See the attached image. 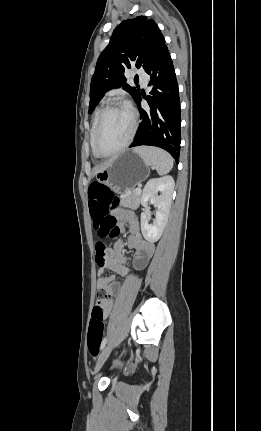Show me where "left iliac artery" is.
Returning a JSON list of instances; mask_svg holds the SVG:
<instances>
[{"label":"left iliac artery","instance_id":"obj_1","mask_svg":"<svg viewBox=\"0 0 261 431\" xmlns=\"http://www.w3.org/2000/svg\"><path fill=\"white\" fill-rule=\"evenodd\" d=\"M106 342H107V338L105 337V338L103 339V341L101 342L100 350H102V349L105 347Z\"/></svg>","mask_w":261,"mask_h":431}]
</instances>
